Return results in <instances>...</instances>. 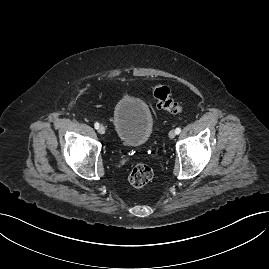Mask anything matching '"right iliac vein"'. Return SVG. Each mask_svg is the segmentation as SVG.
<instances>
[{
    "mask_svg": "<svg viewBox=\"0 0 269 269\" xmlns=\"http://www.w3.org/2000/svg\"><path fill=\"white\" fill-rule=\"evenodd\" d=\"M98 132L100 134H104L105 133V127L103 125H100L99 128H98Z\"/></svg>",
    "mask_w": 269,
    "mask_h": 269,
    "instance_id": "63e3f726",
    "label": "right iliac vein"
}]
</instances>
